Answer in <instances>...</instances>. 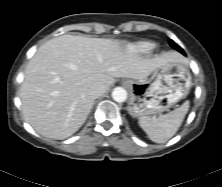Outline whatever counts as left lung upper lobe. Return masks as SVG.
Wrapping results in <instances>:
<instances>
[{
	"label": "left lung upper lobe",
	"mask_w": 222,
	"mask_h": 187,
	"mask_svg": "<svg viewBox=\"0 0 222 187\" xmlns=\"http://www.w3.org/2000/svg\"><path fill=\"white\" fill-rule=\"evenodd\" d=\"M169 43L174 49H176L182 53V51H183L182 48L180 46H178L173 40H170Z\"/></svg>",
	"instance_id": "5c2ea615"
}]
</instances>
